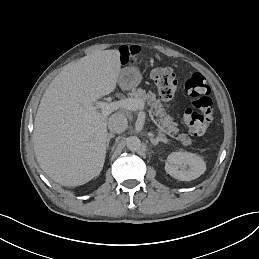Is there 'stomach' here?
I'll return each mask as SVG.
<instances>
[{
	"label": "stomach",
	"mask_w": 259,
	"mask_h": 259,
	"mask_svg": "<svg viewBox=\"0 0 259 259\" xmlns=\"http://www.w3.org/2000/svg\"><path fill=\"white\" fill-rule=\"evenodd\" d=\"M139 55H134L133 58L136 61ZM119 85L126 90H130L136 87L140 83L139 72L132 67L124 68L119 75Z\"/></svg>",
	"instance_id": "obj_1"
}]
</instances>
